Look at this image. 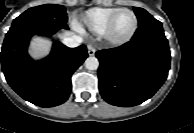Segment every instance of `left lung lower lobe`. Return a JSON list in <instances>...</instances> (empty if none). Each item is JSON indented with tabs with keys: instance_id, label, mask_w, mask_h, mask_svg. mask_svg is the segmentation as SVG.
<instances>
[{
	"instance_id": "obj_1",
	"label": "left lung lower lobe",
	"mask_w": 194,
	"mask_h": 133,
	"mask_svg": "<svg viewBox=\"0 0 194 133\" xmlns=\"http://www.w3.org/2000/svg\"><path fill=\"white\" fill-rule=\"evenodd\" d=\"M99 90L109 104L130 107L151 98L167 78L170 51L160 21L140 24L124 45L96 52Z\"/></svg>"
}]
</instances>
